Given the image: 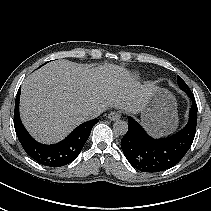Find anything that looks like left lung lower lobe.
I'll return each instance as SVG.
<instances>
[{
	"instance_id": "obj_1",
	"label": "left lung lower lobe",
	"mask_w": 211,
	"mask_h": 211,
	"mask_svg": "<svg viewBox=\"0 0 211 211\" xmlns=\"http://www.w3.org/2000/svg\"><path fill=\"white\" fill-rule=\"evenodd\" d=\"M191 99L187 125L178 133L162 139L150 137L133 118H128V132L121 148L129 163L142 172H160L175 166L187 153L195 137L197 105L189 88L181 89Z\"/></svg>"
}]
</instances>
